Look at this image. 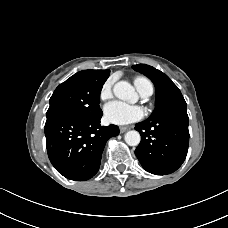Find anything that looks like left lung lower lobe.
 Here are the masks:
<instances>
[{
  "label": "left lung lower lobe",
  "instance_id": "obj_1",
  "mask_svg": "<svg viewBox=\"0 0 228 228\" xmlns=\"http://www.w3.org/2000/svg\"><path fill=\"white\" fill-rule=\"evenodd\" d=\"M187 106L176 107L154 121L137 123L141 142L135 154L143 168L156 175L176 171L188 151L189 131Z\"/></svg>",
  "mask_w": 228,
  "mask_h": 228
}]
</instances>
